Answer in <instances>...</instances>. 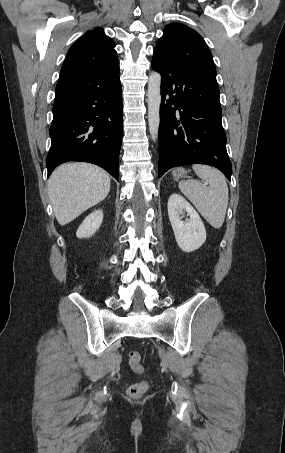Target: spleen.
I'll use <instances>...</instances> for the list:
<instances>
[{
	"label": "spleen",
	"instance_id": "3e777b00",
	"mask_svg": "<svg viewBox=\"0 0 285 453\" xmlns=\"http://www.w3.org/2000/svg\"><path fill=\"white\" fill-rule=\"evenodd\" d=\"M193 170L209 186L197 180L180 181L181 192L214 228L224 223L228 206V186L225 176L216 168L206 165H193Z\"/></svg>",
	"mask_w": 285,
	"mask_h": 453
}]
</instances>
